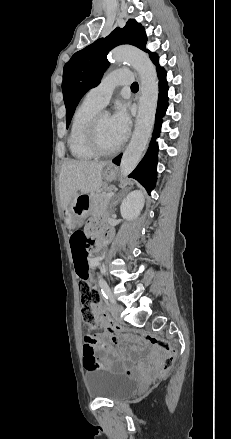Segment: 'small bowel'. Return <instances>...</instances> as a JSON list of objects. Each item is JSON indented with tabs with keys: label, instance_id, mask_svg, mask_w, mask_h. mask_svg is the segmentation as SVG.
Masks as SVG:
<instances>
[{
	"label": "small bowel",
	"instance_id": "obj_1",
	"mask_svg": "<svg viewBox=\"0 0 231 439\" xmlns=\"http://www.w3.org/2000/svg\"><path fill=\"white\" fill-rule=\"evenodd\" d=\"M78 234L84 235L83 233H78ZM85 239L87 241L86 236H85ZM90 243H92V242L88 241L89 246L87 247V249H85L84 248L85 244H84V242H82L81 248H80V253L77 256L76 252H75V243H74L73 239L71 238L70 245H71L73 260H74L76 267L79 264H86L87 265V256H88L87 251L90 248ZM95 314H96L97 318L105 321L107 323L108 327H110L111 325L114 324V323H112V320H111L109 314L107 313L105 307L102 304L96 308ZM115 342H116V337H114L111 334L110 330H109V333H107L105 335H96V336L87 335L84 338V344H83L84 356H85L87 351H92L94 353V355L96 354V352H100L102 354V357H100V361H101L100 363L102 364V366L109 367V368H112L114 370H124L128 374H140L142 372V367H140L139 369L136 370V369L130 368L129 366H124L118 360H114L113 362H110V363L105 362L104 356L115 354V351L113 348V345L115 344Z\"/></svg>",
	"mask_w": 231,
	"mask_h": 439
}]
</instances>
